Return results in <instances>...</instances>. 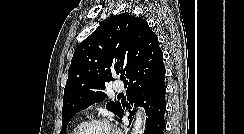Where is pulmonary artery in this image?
<instances>
[{"label": "pulmonary artery", "instance_id": "obj_1", "mask_svg": "<svg viewBox=\"0 0 244 134\" xmlns=\"http://www.w3.org/2000/svg\"><path fill=\"white\" fill-rule=\"evenodd\" d=\"M113 89L116 92H123L124 91V84L122 82L118 81L113 85Z\"/></svg>", "mask_w": 244, "mask_h": 134}]
</instances>
